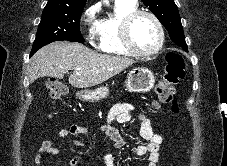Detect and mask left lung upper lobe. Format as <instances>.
Returning <instances> with one entry per match:
<instances>
[{"mask_svg": "<svg viewBox=\"0 0 227 166\" xmlns=\"http://www.w3.org/2000/svg\"><path fill=\"white\" fill-rule=\"evenodd\" d=\"M167 29L172 41L187 50L183 27L174 0H141Z\"/></svg>", "mask_w": 227, "mask_h": 166, "instance_id": "left-lung-upper-lobe-1", "label": "left lung upper lobe"}]
</instances>
